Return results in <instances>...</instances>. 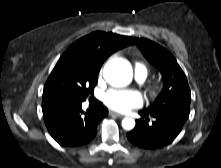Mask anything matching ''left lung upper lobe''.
<instances>
[{
  "label": "left lung upper lobe",
  "mask_w": 221,
  "mask_h": 168,
  "mask_svg": "<svg viewBox=\"0 0 221 168\" xmlns=\"http://www.w3.org/2000/svg\"><path fill=\"white\" fill-rule=\"evenodd\" d=\"M145 58L163 76V89L154 103L142 111L150 114L178 113L189 116L191 93L187 78L173 55L160 45L144 38H135Z\"/></svg>",
  "instance_id": "obj_1"
}]
</instances>
